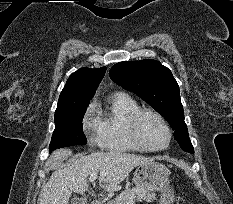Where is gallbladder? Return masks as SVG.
<instances>
[{
    "label": "gallbladder",
    "instance_id": "1",
    "mask_svg": "<svg viewBox=\"0 0 233 204\" xmlns=\"http://www.w3.org/2000/svg\"><path fill=\"white\" fill-rule=\"evenodd\" d=\"M71 204H87V200L84 198L75 197L72 199Z\"/></svg>",
    "mask_w": 233,
    "mask_h": 204
}]
</instances>
